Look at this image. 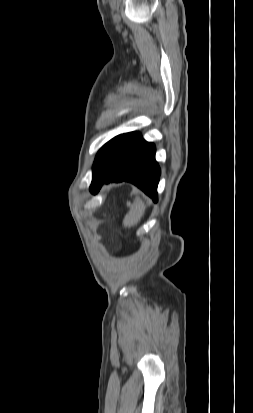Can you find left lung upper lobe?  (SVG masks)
Wrapping results in <instances>:
<instances>
[{
	"label": "left lung upper lobe",
	"instance_id": "left-lung-upper-lobe-1",
	"mask_svg": "<svg viewBox=\"0 0 253 413\" xmlns=\"http://www.w3.org/2000/svg\"><path fill=\"white\" fill-rule=\"evenodd\" d=\"M122 135L116 136L107 142L97 153L94 164H93V174L98 171V169L106 162L109 156L112 154L116 148Z\"/></svg>",
	"mask_w": 253,
	"mask_h": 413
}]
</instances>
